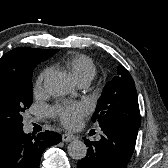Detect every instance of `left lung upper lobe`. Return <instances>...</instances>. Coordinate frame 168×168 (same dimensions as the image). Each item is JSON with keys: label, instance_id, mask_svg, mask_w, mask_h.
I'll list each match as a JSON object with an SVG mask.
<instances>
[{"label": "left lung upper lobe", "instance_id": "obj_1", "mask_svg": "<svg viewBox=\"0 0 168 168\" xmlns=\"http://www.w3.org/2000/svg\"><path fill=\"white\" fill-rule=\"evenodd\" d=\"M100 127L108 123H122L138 130L141 117L137 99V91L130 73L121 65L118 74L107 82L92 117Z\"/></svg>", "mask_w": 168, "mask_h": 168}]
</instances>
